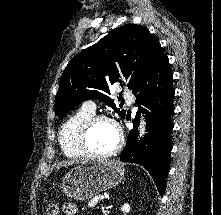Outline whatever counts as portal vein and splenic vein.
Segmentation results:
<instances>
[{
	"instance_id": "obj_1",
	"label": "portal vein and splenic vein",
	"mask_w": 221,
	"mask_h": 215,
	"mask_svg": "<svg viewBox=\"0 0 221 215\" xmlns=\"http://www.w3.org/2000/svg\"><path fill=\"white\" fill-rule=\"evenodd\" d=\"M105 197H106V196H104V195H101V196H100V198H101L102 200L105 199Z\"/></svg>"
}]
</instances>
